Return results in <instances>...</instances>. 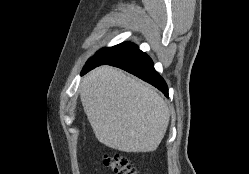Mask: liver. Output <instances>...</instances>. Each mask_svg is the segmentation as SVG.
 <instances>
[{
  "mask_svg": "<svg viewBox=\"0 0 249 174\" xmlns=\"http://www.w3.org/2000/svg\"><path fill=\"white\" fill-rule=\"evenodd\" d=\"M80 99L96 138L123 152H152L161 143L169 109L150 86L104 65L81 83Z\"/></svg>",
  "mask_w": 249,
  "mask_h": 174,
  "instance_id": "1",
  "label": "liver"
}]
</instances>
